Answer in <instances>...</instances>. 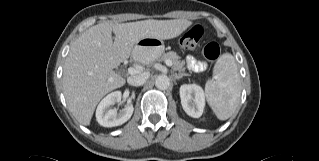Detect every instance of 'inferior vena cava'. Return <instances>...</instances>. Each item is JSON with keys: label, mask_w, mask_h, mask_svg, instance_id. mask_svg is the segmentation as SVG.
<instances>
[{"label": "inferior vena cava", "mask_w": 319, "mask_h": 161, "mask_svg": "<svg viewBox=\"0 0 319 161\" xmlns=\"http://www.w3.org/2000/svg\"><path fill=\"white\" fill-rule=\"evenodd\" d=\"M149 78V73L144 72L127 78V82L132 86H141Z\"/></svg>", "instance_id": "inferior-vena-cava-1"}]
</instances>
